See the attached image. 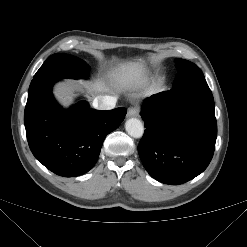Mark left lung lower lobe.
<instances>
[{
    "label": "left lung lower lobe",
    "mask_w": 247,
    "mask_h": 247,
    "mask_svg": "<svg viewBox=\"0 0 247 247\" xmlns=\"http://www.w3.org/2000/svg\"><path fill=\"white\" fill-rule=\"evenodd\" d=\"M146 130L138 145L147 172L159 182L185 183L209 165L217 137L208 85L172 88L144 101Z\"/></svg>",
    "instance_id": "0a47b994"
}]
</instances>
